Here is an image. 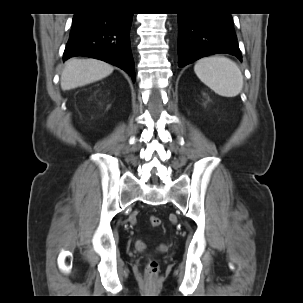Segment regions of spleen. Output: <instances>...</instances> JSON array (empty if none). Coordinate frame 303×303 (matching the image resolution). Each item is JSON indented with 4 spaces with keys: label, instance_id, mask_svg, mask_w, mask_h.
I'll return each instance as SVG.
<instances>
[{
    "label": "spleen",
    "instance_id": "spleen-1",
    "mask_svg": "<svg viewBox=\"0 0 303 303\" xmlns=\"http://www.w3.org/2000/svg\"><path fill=\"white\" fill-rule=\"evenodd\" d=\"M197 77L216 94L235 97L243 88V75L239 67L223 56L205 57L194 66Z\"/></svg>",
    "mask_w": 303,
    "mask_h": 303
}]
</instances>
